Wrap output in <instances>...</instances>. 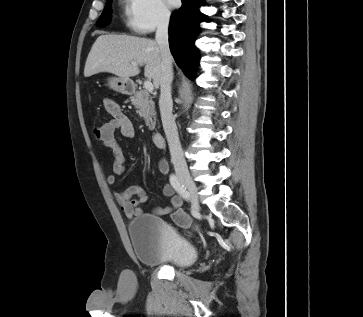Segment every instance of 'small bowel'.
I'll return each instance as SVG.
<instances>
[{"mask_svg": "<svg viewBox=\"0 0 363 317\" xmlns=\"http://www.w3.org/2000/svg\"><path fill=\"white\" fill-rule=\"evenodd\" d=\"M104 107L111 115L112 119L99 126L98 131L94 134L105 147L112 150V172L107 177V183L109 185H114L117 176L121 175L125 170V156L121 146L116 141L115 132L119 131L124 138L129 139L134 136L135 130L131 120L122 111L117 102L112 99H105ZM158 168L163 175L168 173L169 169L166 161L161 160L158 163ZM163 194L164 196L171 198V203L168 206L155 208L153 210L154 214L167 215L181 208L183 204L182 198L175 195L172 185L165 184L163 187ZM113 195L127 217L132 218L144 214L143 204L147 202L148 196L142 187L130 186L123 191H114Z\"/></svg>", "mask_w": 363, "mask_h": 317, "instance_id": "1", "label": "small bowel"}]
</instances>
